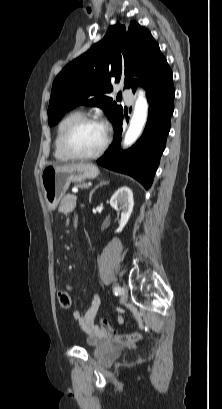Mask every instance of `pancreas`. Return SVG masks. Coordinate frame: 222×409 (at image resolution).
<instances>
[{
    "label": "pancreas",
    "instance_id": "1",
    "mask_svg": "<svg viewBox=\"0 0 222 409\" xmlns=\"http://www.w3.org/2000/svg\"><path fill=\"white\" fill-rule=\"evenodd\" d=\"M77 187H78V188H86V187H87V184H86V183H82V184L77 185Z\"/></svg>",
    "mask_w": 222,
    "mask_h": 409
}]
</instances>
